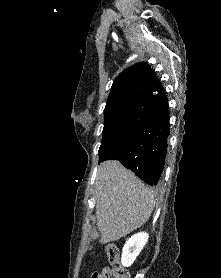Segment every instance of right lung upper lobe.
<instances>
[{"label":"right lung upper lobe","mask_w":221,"mask_h":278,"mask_svg":"<svg viewBox=\"0 0 221 278\" xmlns=\"http://www.w3.org/2000/svg\"><path fill=\"white\" fill-rule=\"evenodd\" d=\"M163 92L162 85L149 66L137 63L114 80L104 112L131 103H147L150 98Z\"/></svg>","instance_id":"obj_1"}]
</instances>
